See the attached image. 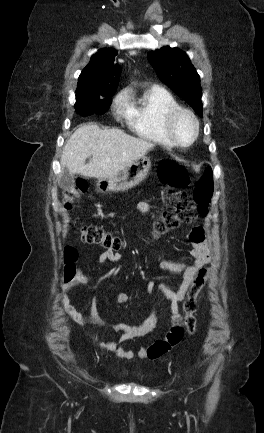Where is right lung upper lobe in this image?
I'll use <instances>...</instances> for the list:
<instances>
[{"label": "right lung upper lobe", "mask_w": 264, "mask_h": 433, "mask_svg": "<svg viewBox=\"0 0 264 433\" xmlns=\"http://www.w3.org/2000/svg\"><path fill=\"white\" fill-rule=\"evenodd\" d=\"M116 55L114 49H101L91 57L79 76L76 91L78 99L114 94L121 74V67L114 64Z\"/></svg>", "instance_id": "right-lung-upper-lobe-1"}]
</instances>
